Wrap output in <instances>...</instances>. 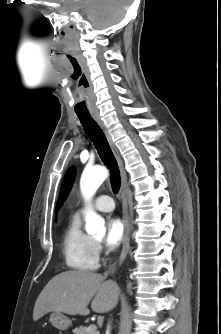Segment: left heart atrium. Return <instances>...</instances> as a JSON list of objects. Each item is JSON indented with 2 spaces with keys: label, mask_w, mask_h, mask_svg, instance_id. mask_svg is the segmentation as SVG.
I'll use <instances>...</instances> for the list:
<instances>
[{
  "label": "left heart atrium",
  "mask_w": 221,
  "mask_h": 334,
  "mask_svg": "<svg viewBox=\"0 0 221 334\" xmlns=\"http://www.w3.org/2000/svg\"><path fill=\"white\" fill-rule=\"evenodd\" d=\"M124 237V225L118 217H111L107 221L106 244L110 247L118 246Z\"/></svg>",
  "instance_id": "1"
}]
</instances>
